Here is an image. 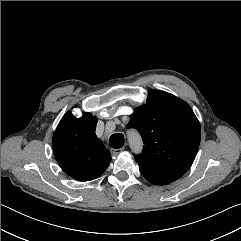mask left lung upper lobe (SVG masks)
I'll return each instance as SVG.
<instances>
[{"label":"left lung upper lobe","instance_id":"left-lung-upper-lobe-1","mask_svg":"<svg viewBox=\"0 0 241 241\" xmlns=\"http://www.w3.org/2000/svg\"><path fill=\"white\" fill-rule=\"evenodd\" d=\"M128 128H136L143 138V152L135 160L152 184H169L191 167L200 144L201 128L185 101L164 91L151 90L146 105L130 116Z\"/></svg>","mask_w":241,"mask_h":241}]
</instances>
